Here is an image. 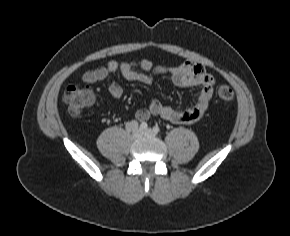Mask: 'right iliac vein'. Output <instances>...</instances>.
Instances as JSON below:
<instances>
[{
    "instance_id": "obj_1",
    "label": "right iliac vein",
    "mask_w": 290,
    "mask_h": 236,
    "mask_svg": "<svg viewBox=\"0 0 290 236\" xmlns=\"http://www.w3.org/2000/svg\"><path fill=\"white\" fill-rule=\"evenodd\" d=\"M143 131H142V129H140V128H136L134 131H133V133H132V136H133V138H135V139H137V138H141L142 136H143Z\"/></svg>"
}]
</instances>
